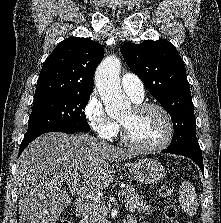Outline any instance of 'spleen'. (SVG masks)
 Listing matches in <instances>:
<instances>
[{"mask_svg":"<svg viewBox=\"0 0 221 223\" xmlns=\"http://www.w3.org/2000/svg\"><path fill=\"white\" fill-rule=\"evenodd\" d=\"M179 203L182 210L189 216L197 212L198 199L193 184L183 181L179 188ZM191 223V222H190Z\"/></svg>","mask_w":221,"mask_h":223,"instance_id":"spleen-1","label":"spleen"}]
</instances>
